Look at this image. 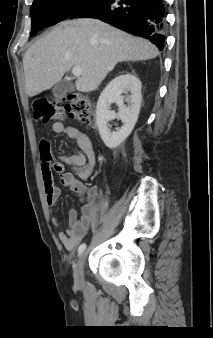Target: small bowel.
Returning a JSON list of instances; mask_svg holds the SVG:
<instances>
[{
    "instance_id": "obj_1",
    "label": "small bowel",
    "mask_w": 213,
    "mask_h": 338,
    "mask_svg": "<svg viewBox=\"0 0 213 338\" xmlns=\"http://www.w3.org/2000/svg\"><path fill=\"white\" fill-rule=\"evenodd\" d=\"M50 132L52 134H66L78 146V150L72 155H65L54 153L47 138H41L38 143L47 205L50 208L54 207L61 195V190L55 183L53 171L59 175V179L64 186L76 193L85 202L79 217L76 212H69L68 227L65 232L58 235L64 247L73 251L87 236L96 214L98 187L86 186L83 183L93 171L95 153L89 137L75 127L65 126L62 122H55L51 125ZM65 165L71 166L74 171H66ZM53 223L59 224L57 217H53Z\"/></svg>"
}]
</instances>
